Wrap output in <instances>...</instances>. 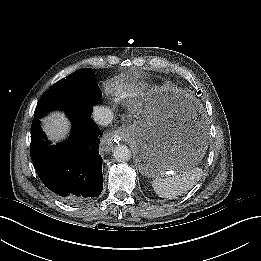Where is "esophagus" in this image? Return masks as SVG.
<instances>
[{"label": "esophagus", "mask_w": 261, "mask_h": 261, "mask_svg": "<svg viewBox=\"0 0 261 261\" xmlns=\"http://www.w3.org/2000/svg\"><path fill=\"white\" fill-rule=\"evenodd\" d=\"M125 130L124 129H118L116 131H113L109 133L106 136V143L104 146H102V151L109 152L115 144H117L124 136Z\"/></svg>", "instance_id": "esophagus-1"}]
</instances>
